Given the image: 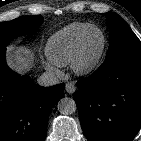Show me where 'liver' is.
Here are the masks:
<instances>
[{"label":"liver","instance_id":"1","mask_svg":"<svg viewBox=\"0 0 141 141\" xmlns=\"http://www.w3.org/2000/svg\"><path fill=\"white\" fill-rule=\"evenodd\" d=\"M9 64L20 74L28 71L32 65V57L27 50H17L10 54Z\"/></svg>","mask_w":141,"mask_h":141}]
</instances>
